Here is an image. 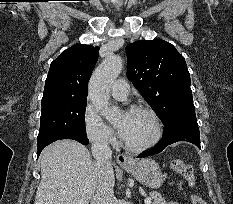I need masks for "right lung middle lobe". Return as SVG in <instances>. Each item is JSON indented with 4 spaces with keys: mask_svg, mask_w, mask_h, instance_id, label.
<instances>
[{
    "mask_svg": "<svg viewBox=\"0 0 233 204\" xmlns=\"http://www.w3.org/2000/svg\"><path fill=\"white\" fill-rule=\"evenodd\" d=\"M86 103L87 99L42 102L37 148L70 136L87 137L84 118Z\"/></svg>",
    "mask_w": 233,
    "mask_h": 204,
    "instance_id": "right-lung-middle-lobe-1",
    "label": "right lung middle lobe"
}]
</instances>
